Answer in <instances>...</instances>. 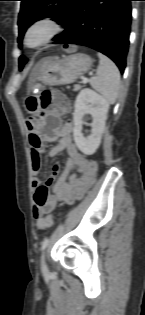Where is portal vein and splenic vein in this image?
Instances as JSON below:
<instances>
[{"instance_id": "18ae733b", "label": "portal vein and splenic vein", "mask_w": 145, "mask_h": 315, "mask_svg": "<svg viewBox=\"0 0 145 315\" xmlns=\"http://www.w3.org/2000/svg\"><path fill=\"white\" fill-rule=\"evenodd\" d=\"M90 75H93L92 73ZM88 82V78L87 77H83L82 78V83H87Z\"/></svg>"}]
</instances>
